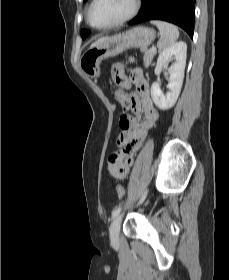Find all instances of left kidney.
<instances>
[{
	"label": "left kidney",
	"instance_id": "obj_1",
	"mask_svg": "<svg viewBox=\"0 0 229 280\" xmlns=\"http://www.w3.org/2000/svg\"><path fill=\"white\" fill-rule=\"evenodd\" d=\"M186 54L187 45L182 41L173 44L159 54L155 68V74L157 76L160 74L162 67L167 65L170 59H175V63L169 68V91L166 95L161 91L158 82L153 83L151 86L152 99L155 105L161 110H168L173 107L179 97L184 79Z\"/></svg>",
	"mask_w": 229,
	"mask_h": 280
}]
</instances>
